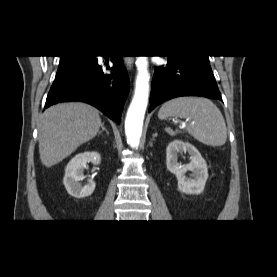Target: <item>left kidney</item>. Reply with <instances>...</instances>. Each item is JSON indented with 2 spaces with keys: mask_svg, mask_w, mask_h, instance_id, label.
<instances>
[{
  "mask_svg": "<svg viewBox=\"0 0 277 277\" xmlns=\"http://www.w3.org/2000/svg\"><path fill=\"white\" fill-rule=\"evenodd\" d=\"M188 152L190 163L181 165L178 162V154ZM167 169L176 175L179 191L185 194H200L205 188L208 178V167L199 151L190 143L181 140L170 142L166 149ZM190 171V177L186 176Z\"/></svg>",
  "mask_w": 277,
  "mask_h": 277,
  "instance_id": "obj_1",
  "label": "left kidney"
}]
</instances>
